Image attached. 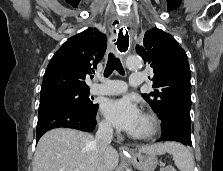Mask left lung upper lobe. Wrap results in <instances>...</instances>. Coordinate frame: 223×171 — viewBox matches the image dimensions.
Wrapping results in <instances>:
<instances>
[{
	"label": "left lung upper lobe",
	"instance_id": "left-lung-upper-lobe-1",
	"mask_svg": "<svg viewBox=\"0 0 223 171\" xmlns=\"http://www.w3.org/2000/svg\"><path fill=\"white\" fill-rule=\"evenodd\" d=\"M137 53L153 71L154 91L142 94L162 120L169 112L179 111L190 117V68L185 51L168 33L148 30ZM150 79V77H148Z\"/></svg>",
	"mask_w": 223,
	"mask_h": 171
}]
</instances>
